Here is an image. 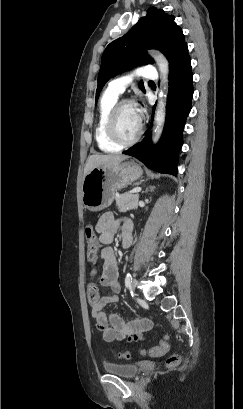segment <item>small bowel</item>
I'll use <instances>...</instances> for the list:
<instances>
[{
    "label": "small bowel",
    "mask_w": 243,
    "mask_h": 409,
    "mask_svg": "<svg viewBox=\"0 0 243 409\" xmlns=\"http://www.w3.org/2000/svg\"><path fill=\"white\" fill-rule=\"evenodd\" d=\"M121 231L122 237L128 232L130 238L124 242L125 246H129L132 240V226L129 223L121 225L112 213L103 214L97 225L96 232L99 234V240L103 245H109L113 242L115 235ZM99 256L103 260L102 271L98 279L97 285L91 283L89 286H99L110 291V294L99 299L98 303L91 305L92 317L95 320L96 328L100 331L102 339L106 342L116 340H132L142 341L143 332L150 330L151 321L147 318H136L130 322H126L119 314H106L104 307L106 305L116 303L118 301V293L120 291V283L118 280V265L114 250L111 247H103ZM90 259V258H89ZM98 255L90 259L91 262H96ZM95 274V272H93Z\"/></svg>",
    "instance_id": "c3829d8e"
}]
</instances>
